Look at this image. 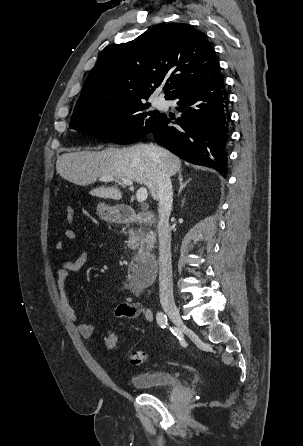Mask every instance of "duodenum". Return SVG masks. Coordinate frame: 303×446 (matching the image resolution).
<instances>
[{
	"instance_id": "duodenum-1",
	"label": "duodenum",
	"mask_w": 303,
	"mask_h": 446,
	"mask_svg": "<svg viewBox=\"0 0 303 446\" xmlns=\"http://www.w3.org/2000/svg\"><path fill=\"white\" fill-rule=\"evenodd\" d=\"M116 217L122 223L138 222L152 225L156 221L154 213L150 211L137 212L129 207L120 208ZM157 273V260L152 254L136 255L131 262L130 277L136 288H143L154 280Z\"/></svg>"
}]
</instances>
